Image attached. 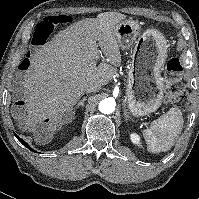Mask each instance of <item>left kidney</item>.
I'll return each instance as SVG.
<instances>
[{"instance_id":"left-kidney-1","label":"left kidney","mask_w":199,"mask_h":199,"mask_svg":"<svg viewBox=\"0 0 199 199\" xmlns=\"http://www.w3.org/2000/svg\"><path fill=\"white\" fill-rule=\"evenodd\" d=\"M130 139H131L133 144L137 145L138 147H142L140 135L133 132V133L130 134Z\"/></svg>"}]
</instances>
